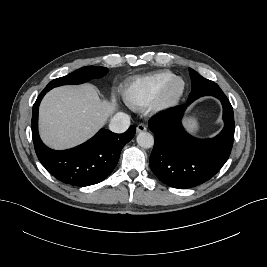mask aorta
I'll use <instances>...</instances> for the list:
<instances>
[{
	"label": "aorta",
	"instance_id": "obj_1",
	"mask_svg": "<svg viewBox=\"0 0 267 267\" xmlns=\"http://www.w3.org/2000/svg\"><path fill=\"white\" fill-rule=\"evenodd\" d=\"M137 143L142 148H151L154 144V137L149 132H140L137 136Z\"/></svg>",
	"mask_w": 267,
	"mask_h": 267
}]
</instances>
